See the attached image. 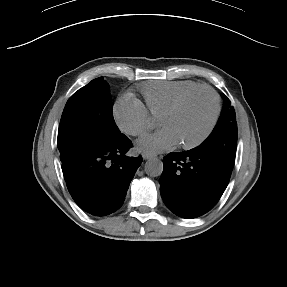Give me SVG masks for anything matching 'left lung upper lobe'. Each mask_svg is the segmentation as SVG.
Returning <instances> with one entry per match:
<instances>
[{"instance_id": "left-lung-upper-lobe-1", "label": "left lung upper lobe", "mask_w": 287, "mask_h": 287, "mask_svg": "<svg viewBox=\"0 0 287 287\" xmlns=\"http://www.w3.org/2000/svg\"><path fill=\"white\" fill-rule=\"evenodd\" d=\"M224 97V108L210 136L198 148L204 149L222 161L230 170L233 168L237 147V123L230 100Z\"/></svg>"}]
</instances>
